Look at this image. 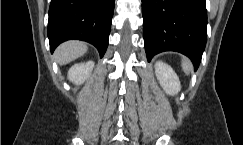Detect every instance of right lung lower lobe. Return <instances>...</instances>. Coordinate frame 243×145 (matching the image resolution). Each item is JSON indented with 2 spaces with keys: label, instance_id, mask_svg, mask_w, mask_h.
<instances>
[{
  "label": "right lung lower lobe",
  "instance_id": "obj_1",
  "mask_svg": "<svg viewBox=\"0 0 243 145\" xmlns=\"http://www.w3.org/2000/svg\"><path fill=\"white\" fill-rule=\"evenodd\" d=\"M115 0H52L48 38L51 52L62 42L78 39L93 44L103 57Z\"/></svg>",
  "mask_w": 243,
  "mask_h": 145
}]
</instances>
